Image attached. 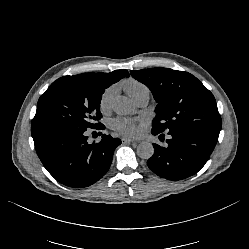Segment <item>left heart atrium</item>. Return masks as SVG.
<instances>
[{"instance_id": "left-heart-atrium-1", "label": "left heart atrium", "mask_w": 249, "mask_h": 249, "mask_svg": "<svg viewBox=\"0 0 249 249\" xmlns=\"http://www.w3.org/2000/svg\"><path fill=\"white\" fill-rule=\"evenodd\" d=\"M112 127L114 130L128 136H135L139 132L138 126L132 120L126 118L112 120Z\"/></svg>"}]
</instances>
